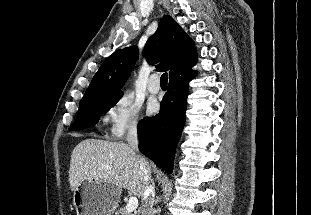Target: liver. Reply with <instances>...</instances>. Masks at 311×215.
Segmentation results:
<instances>
[{
  "label": "liver",
  "instance_id": "obj_1",
  "mask_svg": "<svg viewBox=\"0 0 311 215\" xmlns=\"http://www.w3.org/2000/svg\"><path fill=\"white\" fill-rule=\"evenodd\" d=\"M147 170L151 165L145 160ZM101 180L143 196L144 177L136 155L128 144L99 139H85L76 145L69 168V183L73 192L85 180Z\"/></svg>",
  "mask_w": 311,
  "mask_h": 215
}]
</instances>
